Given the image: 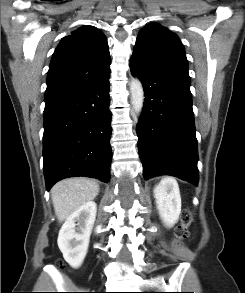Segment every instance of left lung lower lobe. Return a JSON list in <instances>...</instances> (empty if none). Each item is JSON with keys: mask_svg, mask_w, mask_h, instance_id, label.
I'll return each instance as SVG.
<instances>
[{"mask_svg": "<svg viewBox=\"0 0 245 293\" xmlns=\"http://www.w3.org/2000/svg\"><path fill=\"white\" fill-rule=\"evenodd\" d=\"M131 73L142 81L145 102L137 125L138 150L146 180L172 175L197 185L198 153L190 80L138 55Z\"/></svg>", "mask_w": 245, "mask_h": 293, "instance_id": "0a47b994", "label": "left lung lower lobe"}]
</instances>
